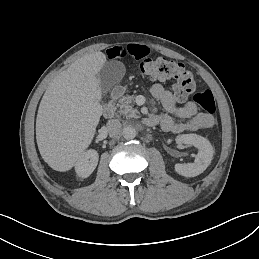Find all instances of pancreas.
<instances>
[{
  "label": "pancreas",
  "instance_id": "cf45deb5",
  "mask_svg": "<svg viewBox=\"0 0 259 259\" xmlns=\"http://www.w3.org/2000/svg\"><path fill=\"white\" fill-rule=\"evenodd\" d=\"M134 103V96L128 95L119 100L118 105L120 110L118 111L121 115H125L126 117H137L140 115V112L134 109L132 105Z\"/></svg>",
  "mask_w": 259,
  "mask_h": 259
}]
</instances>
